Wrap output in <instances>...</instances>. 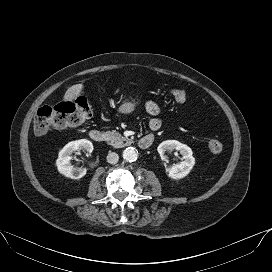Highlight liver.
I'll return each mask as SVG.
<instances>
[{
  "mask_svg": "<svg viewBox=\"0 0 272 272\" xmlns=\"http://www.w3.org/2000/svg\"><path fill=\"white\" fill-rule=\"evenodd\" d=\"M83 87H84L83 84H76L68 88L63 97V101L74 100L77 96H79L82 93Z\"/></svg>",
  "mask_w": 272,
  "mask_h": 272,
  "instance_id": "obj_1",
  "label": "liver"
}]
</instances>
